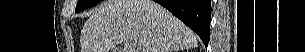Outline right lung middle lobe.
<instances>
[{
	"label": "right lung middle lobe",
	"instance_id": "obj_1",
	"mask_svg": "<svg viewBox=\"0 0 305 52\" xmlns=\"http://www.w3.org/2000/svg\"><path fill=\"white\" fill-rule=\"evenodd\" d=\"M101 0H79L76 5V13L82 11L83 9L89 8L94 6L95 4L99 3Z\"/></svg>",
	"mask_w": 305,
	"mask_h": 52
}]
</instances>
